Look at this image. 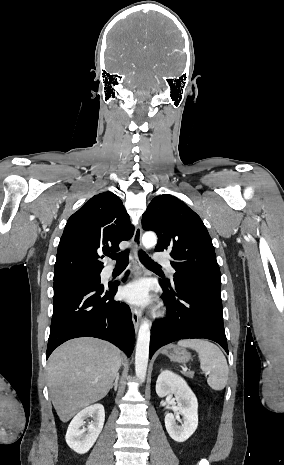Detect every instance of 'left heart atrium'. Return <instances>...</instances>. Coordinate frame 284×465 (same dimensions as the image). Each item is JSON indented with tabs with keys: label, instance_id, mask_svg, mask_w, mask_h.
Segmentation results:
<instances>
[{
	"label": "left heart atrium",
	"instance_id": "39dd6f15",
	"mask_svg": "<svg viewBox=\"0 0 284 465\" xmlns=\"http://www.w3.org/2000/svg\"><path fill=\"white\" fill-rule=\"evenodd\" d=\"M122 296L133 305L144 304L149 299L148 287L143 281L134 282L123 289Z\"/></svg>",
	"mask_w": 284,
	"mask_h": 465
}]
</instances>
